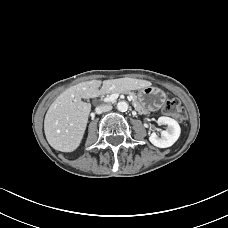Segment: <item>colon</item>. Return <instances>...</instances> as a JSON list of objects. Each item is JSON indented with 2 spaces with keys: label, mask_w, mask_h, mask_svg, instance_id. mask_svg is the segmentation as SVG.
<instances>
[{
  "label": "colon",
  "mask_w": 228,
  "mask_h": 228,
  "mask_svg": "<svg viewBox=\"0 0 228 228\" xmlns=\"http://www.w3.org/2000/svg\"><path fill=\"white\" fill-rule=\"evenodd\" d=\"M163 111L167 115L174 116L179 120H183L185 118V113L180 101L176 98L167 99L163 105Z\"/></svg>",
  "instance_id": "obj_1"
}]
</instances>
